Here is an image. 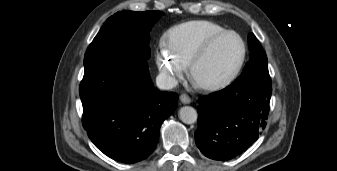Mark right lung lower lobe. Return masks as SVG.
<instances>
[{"instance_id": "1", "label": "right lung lower lobe", "mask_w": 337, "mask_h": 171, "mask_svg": "<svg viewBox=\"0 0 337 171\" xmlns=\"http://www.w3.org/2000/svg\"><path fill=\"white\" fill-rule=\"evenodd\" d=\"M147 59L126 53L100 56L85 66L80 84L83 127L93 144L123 163L146 159L178 94L153 87Z\"/></svg>"}]
</instances>
